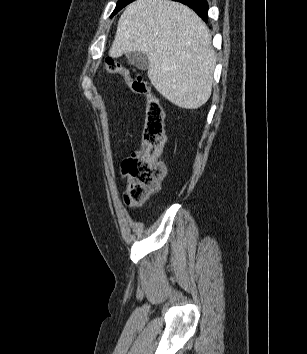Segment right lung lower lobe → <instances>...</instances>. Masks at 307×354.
Returning <instances> with one entry per match:
<instances>
[{"label": "right lung lower lobe", "instance_id": "obj_1", "mask_svg": "<svg viewBox=\"0 0 307 354\" xmlns=\"http://www.w3.org/2000/svg\"><path fill=\"white\" fill-rule=\"evenodd\" d=\"M188 5L192 8L203 20H207L208 3L206 0H174Z\"/></svg>", "mask_w": 307, "mask_h": 354}]
</instances>
